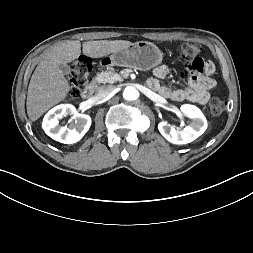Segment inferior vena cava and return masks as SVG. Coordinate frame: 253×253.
Wrapping results in <instances>:
<instances>
[{"label": "inferior vena cava", "mask_w": 253, "mask_h": 253, "mask_svg": "<svg viewBox=\"0 0 253 253\" xmlns=\"http://www.w3.org/2000/svg\"><path fill=\"white\" fill-rule=\"evenodd\" d=\"M113 90H114L113 86H101L98 89L97 97L99 99L106 98L107 96H109L113 92Z\"/></svg>", "instance_id": "1"}]
</instances>
